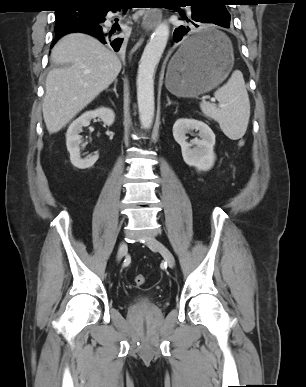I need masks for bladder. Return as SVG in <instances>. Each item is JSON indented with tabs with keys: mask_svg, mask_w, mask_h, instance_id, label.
<instances>
[{
	"mask_svg": "<svg viewBox=\"0 0 306 387\" xmlns=\"http://www.w3.org/2000/svg\"><path fill=\"white\" fill-rule=\"evenodd\" d=\"M156 306L157 303L155 299L147 294H137L130 302V308L133 309L155 308Z\"/></svg>",
	"mask_w": 306,
	"mask_h": 387,
	"instance_id": "bladder-1",
	"label": "bladder"
}]
</instances>
